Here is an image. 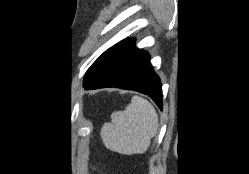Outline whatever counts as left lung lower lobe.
Returning a JSON list of instances; mask_svg holds the SVG:
<instances>
[{"label": "left lung lower lobe", "mask_w": 249, "mask_h": 174, "mask_svg": "<svg viewBox=\"0 0 249 174\" xmlns=\"http://www.w3.org/2000/svg\"><path fill=\"white\" fill-rule=\"evenodd\" d=\"M150 55L127 40L95 75L84 79L86 89L118 87L151 97L162 109V85L149 62Z\"/></svg>", "instance_id": "0a47b994"}]
</instances>
